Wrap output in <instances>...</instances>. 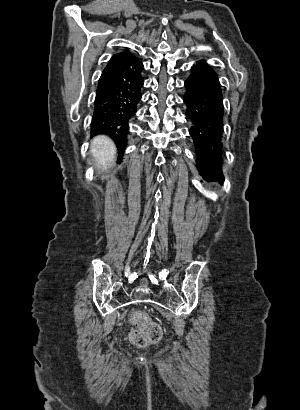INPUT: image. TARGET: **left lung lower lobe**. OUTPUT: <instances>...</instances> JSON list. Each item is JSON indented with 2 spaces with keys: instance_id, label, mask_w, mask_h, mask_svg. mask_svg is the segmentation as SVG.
<instances>
[{
  "instance_id": "left-lung-lower-lobe-1",
  "label": "left lung lower lobe",
  "mask_w": 300,
  "mask_h": 410,
  "mask_svg": "<svg viewBox=\"0 0 300 410\" xmlns=\"http://www.w3.org/2000/svg\"><path fill=\"white\" fill-rule=\"evenodd\" d=\"M185 87L186 116L192 123L189 132L196 149L197 169L205 179L222 181L224 107L217 74L205 61H199L192 66Z\"/></svg>"
}]
</instances>
